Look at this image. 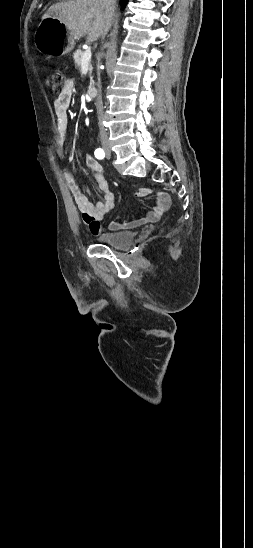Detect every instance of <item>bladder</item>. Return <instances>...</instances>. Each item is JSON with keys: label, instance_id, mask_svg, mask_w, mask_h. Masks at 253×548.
Here are the masks:
<instances>
[{"label": "bladder", "instance_id": "1", "mask_svg": "<svg viewBox=\"0 0 253 548\" xmlns=\"http://www.w3.org/2000/svg\"><path fill=\"white\" fill-rule=\"evenodd\" d=\"M135 236L136 234L132 231L107 232L98 236L96 241L110 247L124 249L133 243Z\"/></svg>", "mask_w": 253, "mask_h": 548}]
</instances>
